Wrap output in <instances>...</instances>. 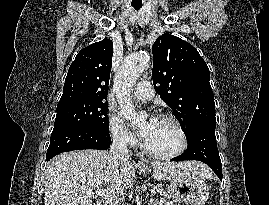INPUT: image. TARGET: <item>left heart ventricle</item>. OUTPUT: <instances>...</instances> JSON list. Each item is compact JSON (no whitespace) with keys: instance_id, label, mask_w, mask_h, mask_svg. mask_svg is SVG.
Returning <instances> with one entry per match:
<instances>
[{"instance_id":"left-heart-ventricle-1","label":"left heart ventricle","mask_w":269,"mask_h":205,"mask_svg":"<svg viewBox=\"0 0 269 205\" xmlns=\"http://www.w3.org/2000/svg\"><path fill=\"white\" fill-rule=\"evenodd\" d=\"M144 142L154 152L170 153L180 147L181 138L170 122L157 119L151 134Z\"/></svg>"}]
</instances>
